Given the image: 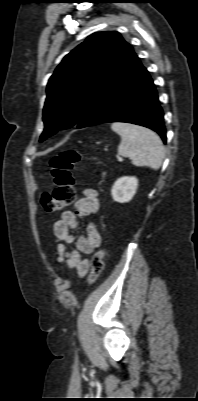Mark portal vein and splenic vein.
I'll return each instance as SVG.
<instances>
[{"label":"portal vein and splenic vein","instance_id":"obj_1","mask_svg":"<svg viewBox=\"0 0 198 401\" xmlns=\"http://www.w3.org/2000/svg\"><path fill=\"white\" fill-rule=\"evenodd\" d=\"M117 159H118L119 161H122V160H123V159H122L121 157H119V156L117 157Z\"/></svg>","mask_w":198,"mask_h":401}]
</instances>
